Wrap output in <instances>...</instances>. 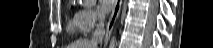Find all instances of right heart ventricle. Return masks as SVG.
Listing matches in <instances>:
<instances>
[{"instance_id":"right-heart-ventricle-1","label":"right heart ventricle","mask_w":213,"mask_h":48,"mask_svg":"<svg viewBox=\"0 0 213 48\" xmlns=\"http://www.w3.org/2000/svg\"><path fill=\"white\" fill-rule=\"evenodd\" d=\"M67 30L70 33H77L80 31L79 29V19H78V12L73 13L67 19Z\"/></svg>"}]
</instances>
